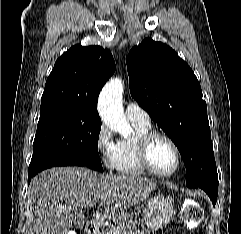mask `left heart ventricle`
<instances>
[{
  "label": "left heart ventricle",
  "instance_id": "1",
  "mask_svg": "<svg viewBox=\"0 0 241 234\" xmlns=\"http://www.w3.org/2000/svg\"><path fill=\"white\" fill-rule=\"evenodd\" d=\"M150 158L153 166L160 172L171 171L176 164V153L164 139H157L152 144Z\"/></svg>",
  "mask_w": 241,
  "mask_h": 234
}]
</instances>
